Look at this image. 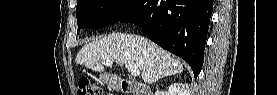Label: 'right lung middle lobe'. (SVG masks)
Here are the masks:
<instances>
[{"mask_svg":"<svg viewBox=\"0 0 277 95\" xmlns=\"http://www.w3.org/2000/svg\"><path fill=\"white\" fill-rule=\"evenodd\" d=\"M140 0H79L76 7L78 29H97L120 21Z\"/></svg>","mask_w":277,"mask_h":95,"instance_id":"right-lung-middle-lobe-1","label":"right lung middle lobe"}]
</instances>
